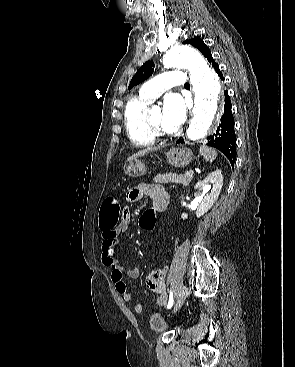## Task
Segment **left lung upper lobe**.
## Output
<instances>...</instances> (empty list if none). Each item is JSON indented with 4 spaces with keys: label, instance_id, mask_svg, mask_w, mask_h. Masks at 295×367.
Here are the masks:
<instances>
[{
    "label": "left lung upper lobe",
    "instance_id": "obj_1",
    "mask_svg": "<svg viewBox=\"0 0 295 367\" xmlns=\"http://www.w3.org/2000/svg\"><path fill=\"white\" fill-rule=\"evenodd\" d=\"M183 44H190L196 47L207 58L208 61L213 59L210 49L207 47V45L203 42V40L200 37L187 39L183 41ZM153 67L154 64L152 61H147L146 63H144L131 79L128 89H131L133 86L142 83L144 80L150 77L154 71Z\"/></svg>",
    "mask_w": 295,
    "mask_h": 367
}]
</instances>
